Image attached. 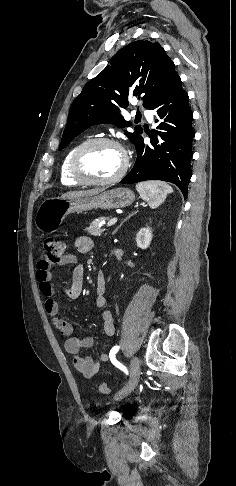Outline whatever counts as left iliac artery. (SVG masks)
<instances>
[{
  "instance_id": "left-iliac-artery-1",
  "label": "left iliac artery",
  "mask_w": 236,
  "mask_h": 486,
  "mask_svg": "<svg viewBox=\"0 0 236 486\" xmlns=\"http://www.w3.org/2000/svg\"><path fill=\"white\" fill-rule=\"evenodd\" d=\"M118 350H119V346H117V345H116V346H114V347L111 349V351H110V360H111V362H112V363H113V364H114L116 367H118L119 369H121L122 371H124L126 374H128V371H127L126 367H125V366H123V365H122L120 362H118V361L116 360V358H115V355H116V353L118 352Z\"/></svg>"
}]
</instances>
